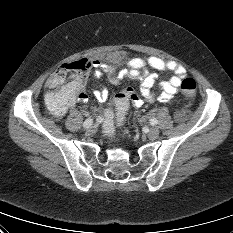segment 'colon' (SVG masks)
Here are the masks:
<instances>
[{
	"mask_svg": "<svg viewBox=\"0 0 233 233\" xmlns=\"http://www.w3.org/2000/svg\"><path fill=\"white\" fill-rule=\"evenodd\" d=\"M90 68L91 62L87 59L63 64L52 74V83L58 87L79 83L87 77ZM180 90L184 95L193 97L197 90V84L193 78H184L180 84ZM128 107L126 94L124 92L117 93L103 117L102 127L107 137L112 138L115 128L123 124Z\"/></svg>",
	"mask_w": 233,
	"mask_h": 233,
	"instance_id": "1",
	"label": "colon"
}]
</instances>
